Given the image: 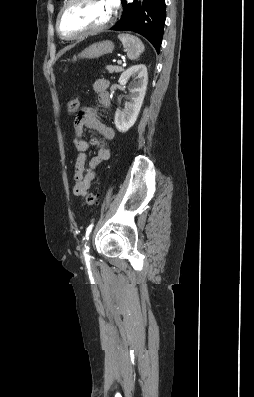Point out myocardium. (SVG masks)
<instances>
[{
  "instance_id": "myocardium-1",
  "label": "myocardium",
  "mask_w": 254,
  "mask_h": 397,
  "mask_svg": "<svg viewBox=\"0 0 254 397\" xmlns=\"http://www.w3.org/2000/svg\"><path fill=\"white\" fill-rule=\"evenodd\" d=\"M75 1L76 0H67L58 13L57 20H56V29H57L58 34L62 38L67 39V40H73V39L82 38V37H85L88 35L96 34V33L106 30L114 23V21L116 19V11L112 8L110 17L102 25L97 26L95 28L88 29V30H84V31L76 33V34L64 33L63 30L61 29V18L63 16V13L65 12V10Z\"/></svg>"
}]
</instances>
